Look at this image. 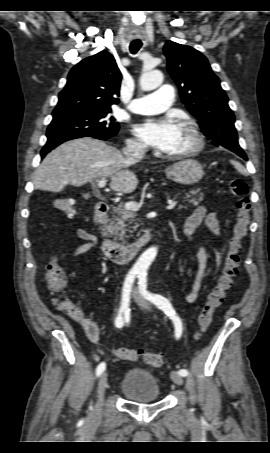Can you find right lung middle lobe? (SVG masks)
I'll list each match as a JSON object with an SVG mask.
<instances>
[{
    "instance_id": "dd1d6c3e",
    "label": "right lung middle lobe",
    "mask_w": 270,
    "mask_h": 453,
    "mask_svg": "<svg viewBox=\"0 0 270 453\" xmlns=\"http://www.w3.org/2000/svg\"><path fill=\"white\" fill-rule=\"evenodd\" d=\"M111 110L86 111L60 117H54L49 124V132H87L99 134L104 137L115 136L119 124L110 116Z\"/></svg>"
}]
</instances>
